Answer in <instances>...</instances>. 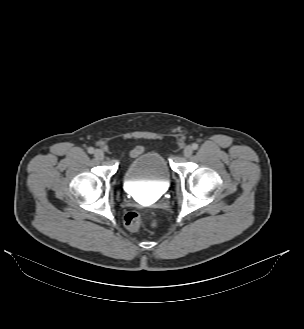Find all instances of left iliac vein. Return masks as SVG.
Listing matches in <instances>:
<instances>
[{"instance_id": "left-iliac-vein-1", "label": "left iliac vein", "mask_w": 304, "mask_h": 329, "mask_svg": "<svg viewBox=\"0 0 304 329\" xmlns=\"http://www.w3.org/2000/svg\"><path fill=\"white\" fill-rule=\"evenodd\" d=\"M184 156L185 157H190L191 155H192V153H193V149H192V147L191 146H187V147H185V149H184Z\"/></svg>"}]
</instances>
